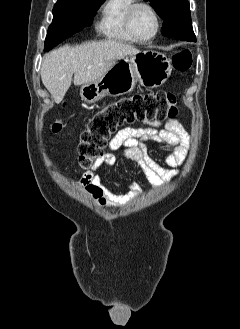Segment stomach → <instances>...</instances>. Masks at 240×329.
Segmentation results:
<instances>
[{"instance_id": "obj_1", "label": "stomach", "mask_w": 240, "mask_h": 329, "mask_svg": "<svg viewBox=\"0 0 240 329\" xmlns=\"http://www.w3.org/2000/svg\"><path fill=\"white\" fill-rule=\"evenodd\" d=\"M171 71L172 65L163 53L141 51L118 60L102 77L82 85L81 99L91 104L106 95H124L131 92L137 82L146 88H157L167 81Z\"/></svg>"}]
</instances>
